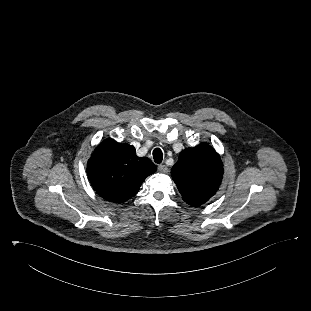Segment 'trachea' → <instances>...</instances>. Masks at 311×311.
<instances>
[{"instance_id":"3493384b","label":"trachea","mask_w":311,"mask_h":311,"mask_svg":"<svg viewBox=\"0 0 311 311\" xmlns=\"http://www.w3.org/2000/svg\"><path fill=\"white\" fill-rule=\"evenodd\" d=\"M153 158L155 163L160 164L163 160V153L160 148H155L153 151Z\"/></svg>"}]
</instances>
